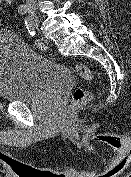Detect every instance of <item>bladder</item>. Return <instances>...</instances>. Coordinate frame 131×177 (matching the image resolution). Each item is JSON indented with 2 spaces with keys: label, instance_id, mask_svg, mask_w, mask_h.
I'll return each instance as SVG.
<instances>
[{
  "label": "bladder",
  "instance_id": "bladder-1",
  "mask_svg": "<svg viewBox=\"0 0 131 177\" xmlns=\"http://www.w3.org/2000/svg\"><path fill=\"white\" fill-rule=\"evenodd\" d=\"M70 69L25 46L13 31H0V98L30 103L59 95L74 84Z\"/></svg>",
  "mask_w": 131,
  "mask_h": 177
}]
</instances>
